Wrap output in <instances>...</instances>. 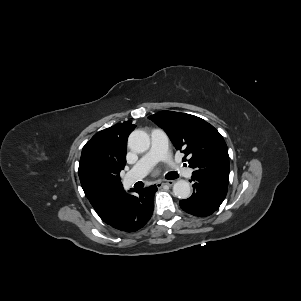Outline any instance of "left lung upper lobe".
I'll list each match as a JSON object with an SVG mask.
<instances>
[{
	"mask_svg": "<svg viewBox=\"0 0 301 301\" xmlns=\"http://www.w3.org/2000/svg\"><path fill=\"white\" fill-rule=\"evenodd\" d=\"M148 118L164 129L176 149L185 154L183 161L195 169L193 176L228 187V148L212 125L194 115L173 111H161Z\"/></svg>",
	"mask_w": 301,
	"mask_h": 301,
	"instance_id": "1",
	"label": "left lung upper lobe"
}]
</instances>
